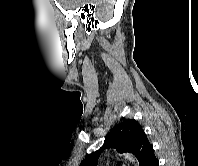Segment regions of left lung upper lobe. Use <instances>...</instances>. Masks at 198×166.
I'll return each mask as SVG.
<instances>
[{"mask_svg": "<svg viewBox=\"0 0 198 166\" xmlns=\"http://www.w3.org/2000/svg\"><path fill=\"white\" fill-rule=\"evenodd\" d=\"M108 148H115L119 153H132L138 159L140 166H146L154 155L153 146L140 124L134 119H129L115 126L108 134L104 145L88 155L80 166H97L102 151Z\"/></svg>", "mask_w": 198, "mask_h": 166, "instance_id": "1", "label": "left lung upper lobe"}]
</instances>
